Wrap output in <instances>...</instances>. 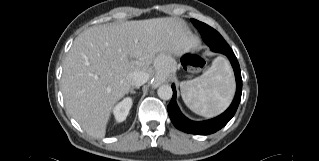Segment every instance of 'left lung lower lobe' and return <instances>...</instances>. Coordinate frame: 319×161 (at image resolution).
I'll list each match as a JSON object with an SVG mask.
<instances>
[{
  "label": "left lung lower lobe",
  "mask_w": 319,
  "mask_h": 161,
  "mask_svg": "<svg viewBox=\"0 0 319 161\" xmlns=\"http://www.w3.org/2000/svg\"><path fill=\"white\" fill-rule=\"evenodd\" d=\"M197 28L199 30H202V28L198 25ZM205 33L211 35L209 31H205ZM204 36L207 35L204 34ZM221 53H223L229 58L236 77L237 89L232 104L224 113H222L216 118L201 122L192 121L181 113L176 103V89L174 84H172L173 97L168 105V114L172 123L177 129L195 135H209L223 128L236 113L242 94V78L240 66L231 48L224 49Z\"/></svg>",
  "instance_id": "1"
}]
</instances>
